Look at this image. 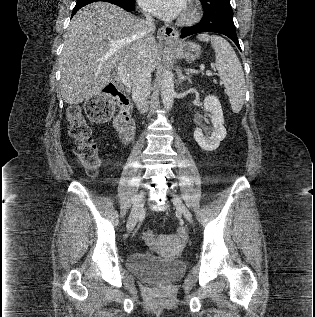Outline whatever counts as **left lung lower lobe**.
Here are the masks:
<instances>
[{
  "label": "left lung lower lobe",
  "mask_w": 315,
  "mask_h": 317,
  "mask_svg": "<svg viewBox=\"0 0 315 317\" xmlns=\"http://www.w3.org/2000/svg\"><path fill=\"white\" fill-rule=\"evenodd\" d=\"M200 32H216L224 34L229 37L241 50L238 38L236 35V29L233 22V17L224 16L217 19L203 18L201 21L191 27H185L182 29L181 38L186 36L200 33Z\"/></svg>",
  "instance_id": "left-lung-lower-lobe-1"
}]
</instances>
